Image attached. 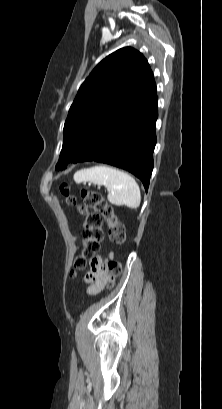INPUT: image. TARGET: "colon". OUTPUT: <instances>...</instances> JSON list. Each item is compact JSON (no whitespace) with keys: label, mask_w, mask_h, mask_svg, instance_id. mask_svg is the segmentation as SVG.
Masks as SVG:
<instances>
[{"label":"colon","mask_w":222,"mask_h":409,"mask_svg":"<svg viewBox=\"0 0 222 409\" xmlns=\"http://www.w3.org/2000/svg\"><path fill=\"white\" fill-rule=\"evenodd\" d=\"M60 192L68 204L77 206L79 211L86 215L83 229V249L74 259L73 273L84 269L90 257L95 256L103 239L102 224L104 221L108 226L110 240L117 245L125 243V228L115 216L112 208L104 201L101 193L83 188L81 190L82 204L77 205L75 197L71 194L70 185L67 182H63L60 185ZM110 263L107 288L113 286L115 279L122 272V263L120 261L111 260Z\"/></svg>","instance_id":"obj_1"}]
</instances>
